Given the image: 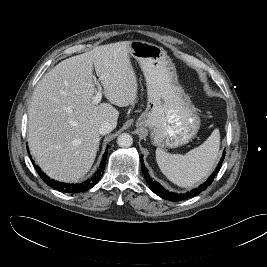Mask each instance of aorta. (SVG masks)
<instances>
[{
	"instance_id": "762f6f07",
	"label": "aorta",
	"mask_w": 267,
	"mask_h": 267,
	"mask_svg": "<svg viewBox=\"0 0 267 267\" xmlns=\"http://www.w3.org/2000/svg\"><path fill=\"white\" fill-rule=\"evenodd\" d=\"M117 144L123 148L130 147L133 144V138L128 133H122L117 138Z\"/></svg>"
}]
</instances>
